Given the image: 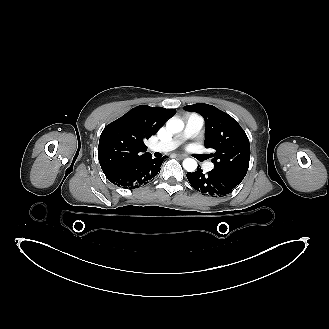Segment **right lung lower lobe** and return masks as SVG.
I'll return each instance as SVG.
<instances>
[{
    "label": "right lung lower lobe",
    "instance_id": "98d812e1",
    "mask_svg": "<svg viewBox=\"0 0 329 329\" xmlns=\"http://www.w3.org/2000/svg\"><path fill=\"white\" fill-rule=\"evenodd\" d=\"M165 158L167 156L154 159H152V156H149L125 169L107 173L105 176L114 185L134 189L149 183L160 171Z\"/></svg>",
    "mask_w": 329,
    "mask_h": 329
}]
</instances>
